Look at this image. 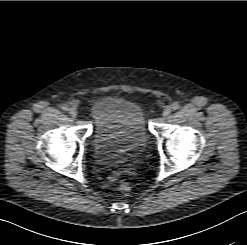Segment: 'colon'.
Wrapping results in <instances>:
<instances>
[{"label":"colon","instance_id":"5ec220e1","mask_svg":"<svg viewBox=\"0 0 247 245\" xmlns=\"http://www.w3.org/2000/svg\"><path fill=\"white\" fill-rule=\"evenodd\" d=\"M119 191L124 194V195H127L131 192V187L128 183H125V182H122L120 185H119Z\"/></svg>","mask_w":247,"mask_h":245}]
</instances>
